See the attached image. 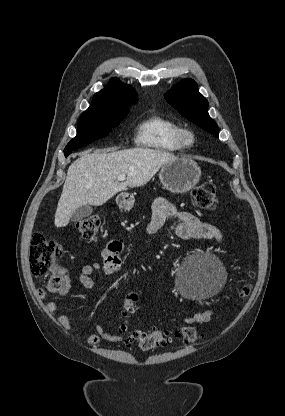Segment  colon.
Segmentation results:
<instances>
[{
    "label": "colon",
    "mask_w": 285,
    "mask_h": 416,
    "mask_svg": "<svg viewBox=\"0 0 285 416\" xmlns=\"http://www.w3.org/2000/svg\"><path fill=\"white\" fill-rule=\"evenodd\" d=\"M192 198L196 206L203 210H213L217 206L216 188L212 183L205 182L194 188ZM102 227V220L96 216H89L78 220L75 229L82 239L93 242ZM63 255L61 245L46 238L43 234L36 233L32 236L30 244V270L34 276H44L51 273L48 281V289L58 292L62 289L67 279L66 270L59 265L58 261ZM250 288L245 286L241 294H249ZM138 300L136 293H130L125 298L124 315L131 313ZM125 334V343L136 345L144 351L168 346L173 338L181 340L184 344L194 343L198 340V332L190 326H183L169 332L162 329L148 331H129L125 325L120 328Z\"/></svg>",
    "instance_id": "5ec220e1"
}]
</instances>
